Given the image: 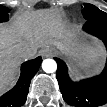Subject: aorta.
<instances>
[{"label": "aorta", "mask_w": 107, "mask_h": 107, "mask_svg": "<svg viewBox=\"0 0 107 107\" xmlns=\"http://www.w3.org/2000/svg\"><path fill=\"white\" fill-rule=\"evenodd\" d=\"M42 69L46 73H54L57 70V63L53 59H45L42 62Z\"/></svg>", "instance_id": "obj_1"}]
</instances>
